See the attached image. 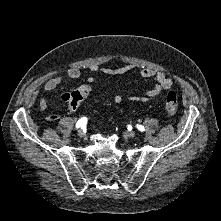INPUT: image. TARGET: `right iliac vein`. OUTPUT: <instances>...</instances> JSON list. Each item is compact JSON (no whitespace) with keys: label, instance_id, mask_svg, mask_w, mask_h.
<instances>
[{"label":"right iliac vein","instance_id":"obj_1","mask_svg":"<svg viewBox=\"0 0 221 221\" xmlns=\"http://www.w3.org/2000/svg\"><path fill=\"white\" fill-rule=\"evenodd\" d=\"M77 135H78L80 138H83V137L85 136V133H84L83 130L80 129V130H78Z\"/></svg>","mask_w":221,"mask_h":221}]
</instances>
